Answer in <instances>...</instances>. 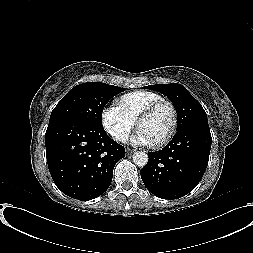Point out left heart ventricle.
<instances>
[{"label":"left heart ventricle","instance_id":"left-heart-ventricle-1","mask_svg":"<svg viewBox=\"0 0 253 253\" xmlns=\"http://www.w3.org/2000/svg\"><path fill=\"white\" fill-rule=\"evenodd\" d=\"M172 124V114L168 107L157 109L149 117L142 120L138 129L143 131L152 144L161 140L169 131Z\"/></svg>","mask_w":253,"mask_h":253}]
</instances>
